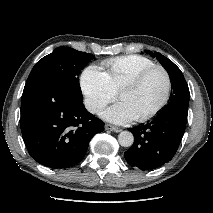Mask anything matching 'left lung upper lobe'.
<instances>
[{"label":"left lung upper lobe","mask_w":213,"mask_h":213,"mask_svg":"<svg viewBox=\"0 0 213 213\" xmlns=\"http://www.w3.org/2000/svg\"><path fill=\"white\" fill-rule=\"evenodd\" d=\"M146 53L156 57L169 74L173 91L165 110L177 108L188 111L190 93L180 69L171 60L158 52L146 51Z\"/></svg>","instance_id":"left-lung-upper-lobe-1"}]
</instances>
